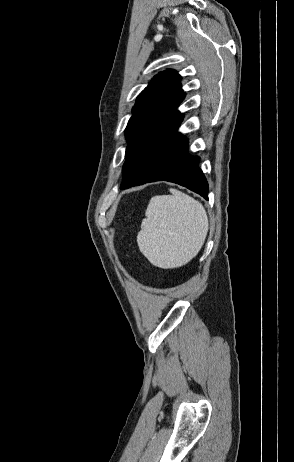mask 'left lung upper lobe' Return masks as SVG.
I'll list each match as a JSON object with an SVG mask.
<instances>
[{"label":"left lung upper lobe","instance_id":"5c2ea615","mask_svg":"<svg viewBox=\"0 0 294 462\" xmlns=\"http://www.w3.org/2000/svg\"><path fill=\"white\" fill-rule=\"evenodd\" d=\"M180 79V75L175 70L162 71L139 94L125 130L126 138L129 140L126 155L151 111L156 106L165 107L176 103L183 97Z\"/></svg>","mask_w":294,"mask_h":462}]
</instances>
